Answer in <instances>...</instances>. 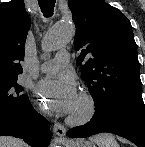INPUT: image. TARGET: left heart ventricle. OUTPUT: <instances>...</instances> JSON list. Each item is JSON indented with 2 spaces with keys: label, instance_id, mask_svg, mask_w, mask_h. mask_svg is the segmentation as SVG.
<instances>
[{
  "label": "left heart ventricle",
  "instance_id": "1",
  "mask_svg": "<svg viewBox=\"0 0 145 147\" xmlns=\"http://www.w3.org/2000/svg\"><path fill=\"white\" fill-rule=\"evenodd\" d=\"M83 110V103L79 100V98L77 99L76 105L74 107V109L72 110L71 113H79Z\"/></svg>",
  "mask_w": 145,
  "mask_h": 147
}]
</instances>
